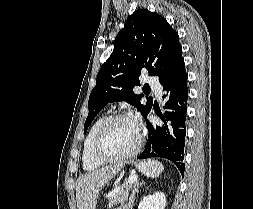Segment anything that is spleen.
Instances as JSON below:
<instances>
[{"mask_svg": "<svg viewBox=\"0 0 253 209\" xmlns=\"http://www.w3.org/2000/svg\"><path fill=\"white\" fill-rule=\"evenodd\" d=\"M137 168L145 176L156 178L159 177L164 170L163 165L157 160H148L137 165Z\"/></svg>", "mask_w": 253, "mask_h": 209, "instance_id": "3e777b00", "label": "spleen"}]
</instances>
